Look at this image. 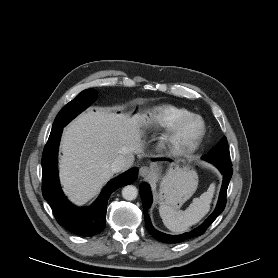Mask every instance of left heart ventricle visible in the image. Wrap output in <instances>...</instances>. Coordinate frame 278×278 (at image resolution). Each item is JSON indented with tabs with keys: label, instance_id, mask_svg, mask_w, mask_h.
<instances>
[{
	"label": "left heart ventricle",
	"instance_id": "left-heart-ventricle-1",
	"mask_svg": "<svg viewBox=\"0 0 278 278\" xmlns=\"http://www.w3.org/2000/svg\"><path fill=\"white\" fill-rule=\"evenodd\" d=\"M199 131V124L195 121H192L188 123L182 133H181V138L184 141L191 140Z\"/></svg>",
	"mask_w": 278,
	"mask_h": 278
}]
</instances>
